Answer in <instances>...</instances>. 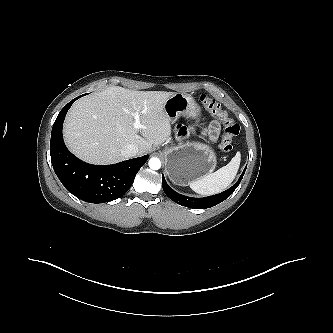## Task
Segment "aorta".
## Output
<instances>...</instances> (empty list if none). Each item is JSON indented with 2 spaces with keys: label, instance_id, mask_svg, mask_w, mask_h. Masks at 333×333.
Listing matches in <instances>:
<instances>
[{
  "label": "aorta",
  "instance_id": "762f6f07",
  "mask_svg": "<svg viewBox=\"0 0 333 333\" xmlns=\"http://www.w3.org/2000/svg\"><path fill=\"white\" fill-rule=\"evenodd\" d=\"M148 164L152 170H159L161 168V161L158 158H151Z\"/></svg>",
  "mask_w": 333,
  "mask_h": 333
}]
</instances>
